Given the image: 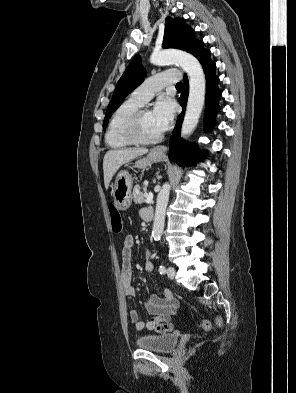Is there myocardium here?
Listing matches in <instances>:
<instances>
[{
	"instance_id": "f54148a6",
	"label": "myocardium",
	"mask_w": 296,
	"mask_h": 393,
	"mask_svg": "<svg viewBox=\"0 0 296 393\" xmlns=\"http://www.w3.org/2000/svg\"><path fill=\"white\" fill-rule=\"evenodd\" d=\"M147 111L146 109H138L128 120L124 134L125 137L135 145H150L159 142L162 139V134L152 137L145 138L141 134V118L142 114Z\"/></svg>"
}]
</instances>
